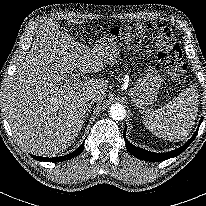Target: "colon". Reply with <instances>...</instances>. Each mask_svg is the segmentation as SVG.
Masks as SVG:
<instances>
[{"mask_svg": "<svg viewBox=\"0 0 206 206\" xmlns=\"http://www.w3.org/2000/svg\"><path fill=\"white\" fill-rule=\"evenodd\" d=\"M115 33L126 38H136L145 34L151 36L156 42L157 57L163 65L164 72L175 82L183 78L186 64L181 49L167 25L159 22H137L122 32L115 30Z\"/></svg>", "mask_w": 206, "mask_h": 206, "instance_id": "5ec220e1", "label": "colon"}]
</instances>
